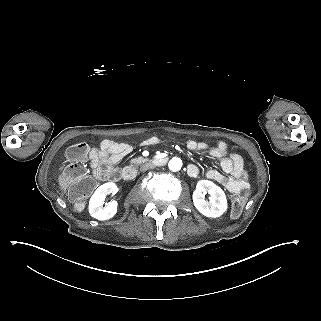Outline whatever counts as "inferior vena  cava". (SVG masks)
I'll return each instance as SVG.
<instances>
[{
  "label": "inferior vena cava",
  "mask_w": 321,
  "mask_h": 321,
  "mask_svg": "<svg viewBox=\"0 0 321 321\" xmlns=\"http://www.w3.org/2000/svg\"><path fill=\"white\" fill-rule=\"evenodd\" d=\"M154 167H155V166H154L153 164H151V163H146V164H144V165L141 166L140 170H141L142 172H145V171H147V170H149V169H153Z\"/></svg>",
  "instance_id": "1"
}]
</instances>
